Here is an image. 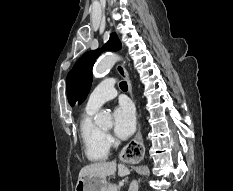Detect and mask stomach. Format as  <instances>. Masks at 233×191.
Masks as SVG:
<instances>
[{"label":"stomach","mask_w":233,"mask_h":191,"mask_svg":"<svg viewBox=\"0 0 233 191\" xmlns=\"http://www.w3.org/2000/svg\"><path fill=\"white\" fill-rule=\"evenodd\" d=\"M108 185L105 177L84 176L78 179L75 191H106Z\"/></svg>","instance_id":"obj_1"}]
</instances>
